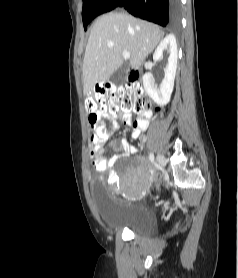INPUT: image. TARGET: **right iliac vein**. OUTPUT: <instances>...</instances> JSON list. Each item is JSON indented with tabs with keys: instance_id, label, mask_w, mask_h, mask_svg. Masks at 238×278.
I'll return each instance as SVG.
<instances>
[{
	"instance_id": "1",
	"label": "right iliac vein",
	"mask_w": 238,
	"mask_h": 278,
	"mask_svg": "<svg viewBox=\"0 0 238 278\" xmlns=\"http://www.w3.org/2000/svg\"><path fill=\"white\" fill-rule=\"evenodd\" d=\"M157 160H158L159 165H161L163 167V169H166V166L164 164V161H165L164 155L158 154Z\"/></svg>"
}]
</instances>
